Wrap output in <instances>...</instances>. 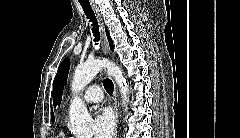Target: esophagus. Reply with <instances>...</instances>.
<instances>
[{
	"instance_id": "1",
	"label": "esophagus",
	"mask_w": 240,
	"mask_h": 138,
	"mask_svg": "<svg viewBox=\"0 0 240 138\" xmlns=\"http://www.w3.org/2000/svg\"><path fill=\"white\" fill-rule=\"evenodd\" d=\"M92 8L96 14L98 23H99V28H100V32H101V39H102V47H103V51L105 53V55H109L110 54V48H109V44L107 41V37H106V32H105V25L104 22L102 20V17L99 13V10L97 8L96 5H92ZM113 101H114V113H115V131H114V138H116L117 136V128H118V122H119V116H118V101H117V88H116V84L113 80Z\"/></svg>"
}]
</instances>
